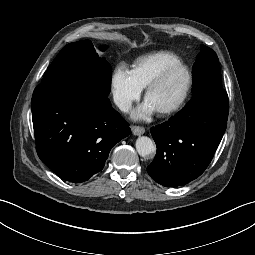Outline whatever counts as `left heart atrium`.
Segmentation results:
<instances>
[{
    "label": "left heart atrium",
    "mask_w": 255,
    "mask_h": 255,
    "mask_svg": "<svg viewBox=\"0 0 255 255\" xmlns=\"http://www.w3.org/2000/svg\"><path fill=\"white\" fill-rule=\"evenodd\" d=\"M155 108L147 101H145L141 106H139L133 112V117L137 119H146L154 114Z\"/></svg>",
    "instance_id": "left-heart-atrium-1"
}]
</instances>
